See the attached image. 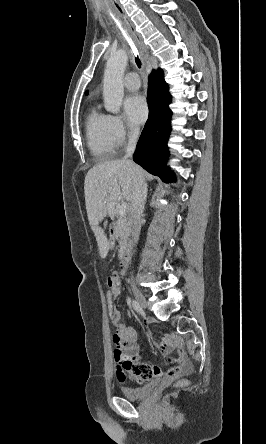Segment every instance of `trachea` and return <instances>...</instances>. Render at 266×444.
I'll return each instance as SVG.
<instances>
[{"instance_id":"obj_1","label":"trachea","mask_w":266,"mask_h":444,"mask_svg":"<svg viewBox=\"0 0 266 444\" xmlns=\"http://www.w3.org/2000/svg\"><path fill=\"white\" fill-rule=\"evenodd\" d=\"M135 63L137 65L138 68H141V60L138 56L135 57Z\"/></svg>"}]
</instances>
